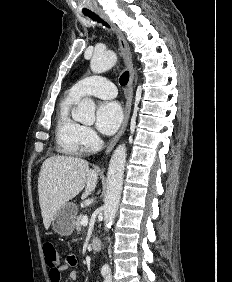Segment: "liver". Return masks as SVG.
<instances>
[{
    "label": "liver",
    "instance_id": "6515ba94",
    "mask_svg": "<svg viewBox=\"0 0 232 282\" xmlns=\"http://www.w3.org/2000/svg\"><path fill=\"white\" fill-rule=\"evenodd\" d=\"M96 170L86 160L71 156H52L46 159L39 173L38 195L43 224L49 229L57 210L76 197L84 188L82 198L95 190Z\"/></svg>",
    "mask_w": 232,
    "mask_h": 282
}]
</instances>
